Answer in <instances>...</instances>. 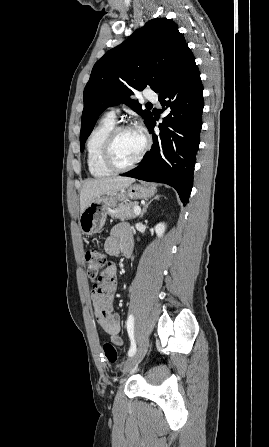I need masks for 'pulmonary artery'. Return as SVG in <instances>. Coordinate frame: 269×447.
Returning <instances> with one entry per match:
<instances>
[{
	"label": "pulmonary artery",
	"mask_w": 269,
	"mask_h": 447,
	"mask_svg": "<svg viewBox=\"0 0 269 447\" xmlns=\"http://www.w3.org/2000/svg\"><path fill=\"white\" fill-rule=\"evenodd\" d=\"M146 99L156 100L157 91L156 90H146L144 93ZM119 112L118 108L110 107L106 113V115L110 118L116 119L117 113Z\"/></svg>",
	"instance_id": "e3ab8cb5"
}]
</instances>
